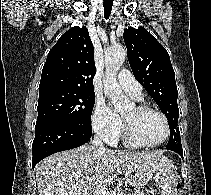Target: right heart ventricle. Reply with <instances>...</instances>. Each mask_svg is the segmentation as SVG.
Listing matches in <instances>:
<instances>
[{"instance_id":"obj_1","label":"right heart ventricle","mask_w":211,"mask_h":195,"mask_svg":"<svg viewBox=\"0 0 211 195\" xmlns=\"http://www.w3.org/2000/svg\"><path fill=\"white\" fill-rule=\"evenodd\" d=\"M123 138H124L125 144H126L127 146H130V147H137L136 144H134L133 142H131V141L127 138V136L125 135V133H124V135H123Z\"/></svg>"}]
</instances>
